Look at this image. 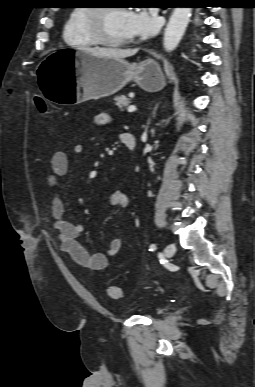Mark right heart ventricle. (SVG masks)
<instances>
[{
  "label": "right heart ventricle",
  "instance_id": "obj_1",
  "mask_svg": "<svg viewBox=\"0 0 255 387\" xmlns=\"http://www.w3.org/2000/svg\"><path fill=\"white\" fill-rule=\"evenodd\" d=\"M89 9L88 6H76L70 11L63 27V40L68 46L81 49L97 44L87 29Z\"/></svg>",
  "mask_w": 255,
  "mask_h": 387
}]
</instances>
